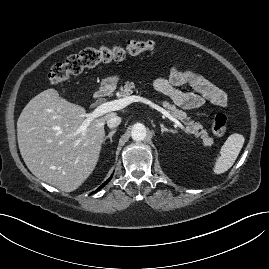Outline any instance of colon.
Segmentation results:
<instances>
[{
  "mask_svg": "<svg viewBox=\"0 0 269 269\" xmlns=\"http://www.w3.org/2000/svg\"><path fill=\"white\" fill-rule=\"evenodd\" d=\"M154 51L155 43L152 40H131L125 45L85 49L68 57L64 62L54 65L48 74V79L51 84L60 86L71 75L79 74L86 68ZM211 125L213 134L222 137L227 132V116L223 112H216L212 117Z\"/></svg>",
  "mask_w": 269,
  "mask_h": 269,
  "instance_id": "1",
  "label": "colon"
}]
</instances>
